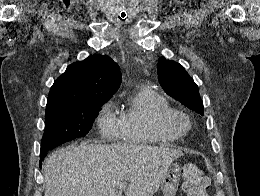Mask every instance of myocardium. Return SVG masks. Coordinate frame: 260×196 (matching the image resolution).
<instances>
[{"label":"myocardium","instance_id":"myocardium-1","mask_svg":"<svg viewBox=\"0 0 260 196\" xmlns=\"http://www.w3.org/2000/svg\"><path fill=\"white\" fill-rule=\"evenodd\" d=\"M159 125L164 129L176 131L181 135L186 134L190 129L188 116L185 112L178 109L164 113L159 119Z\"/></svg>","mask_w":260,"mask_h":196}]
</instances>
